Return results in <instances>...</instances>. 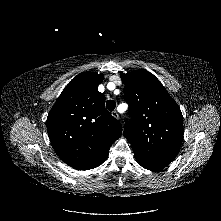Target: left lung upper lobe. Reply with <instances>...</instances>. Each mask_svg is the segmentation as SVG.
<instances>
[{"label": "left lung upper lobe", "instance_id": "obj_1", "mask_svg": "<svg viewBox=\"0 0 221 221\" xmlns=\"http://www.w3.org/2000/svg\"><path fill=\"white\" fill-rule=\"evenodd\" d=\"M129 104L131 122L124 136L135 157L168 165L179 152L183 139V116L161 82L146 70L120 75Z\"/></svg>", "mask_w": 221, "mask_h": 221}]
</instances>
